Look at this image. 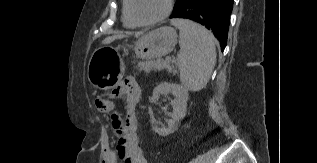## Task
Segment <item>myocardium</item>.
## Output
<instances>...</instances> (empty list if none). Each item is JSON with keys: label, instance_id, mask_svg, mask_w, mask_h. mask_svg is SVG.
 Masks as SVG:
<instances>
[{"label": "myocardium", "instance_id": "f54148a6", "mask_svg": "<svg viewBox=\"0 0 317 163\" xmlns=\"http://www.w3.org/2000/svg\"><path fill=\"white\" fill-rule=\"evenodd\" d=\"M132 3H133V0H127V10H128V14H129L131 21L136 26L145 27V26H152V25L158 24V23L162 22L163 20H165L171 14V12L173 10L174 0H166L165 1V8H164V11L162 12V14L154 19L147 20V21H141L134 15Z\"/></svg>", "mask_w": 317, "mask_h": 163}]
</instances>
